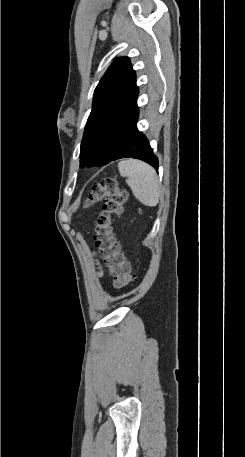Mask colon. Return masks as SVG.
<instances>
[{
	"label": "colon",
	"instance_id": "colon-1",
	"mask_svg": "<svg viewBox=\"0 0 245 457\" xmlns=\"http://www.w3.org/2000/svg\"><path fill=\"white\" fill-rule=\"evenodd\" d=\"M127 199L126 191L119 187L116 178L108 177L93 185L85 202L86 206L103 202V210L95 221V244L118 290L130 285L133 280L130 263L113 232V219L122 215Z\"/></svg>",
	"mask_w": 245,
	"mask_h": 457
}]
</instances>
